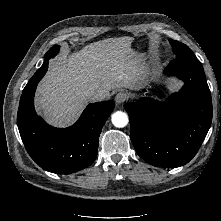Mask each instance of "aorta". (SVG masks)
<instances>
[{"mask_svg": "<svg viewBox=\"0 0 221 221\" xmlns=\"http://www.w3.org/2000/svg\"><path fill=\"white\" fill-rule=\"evenodd\" d=\"M112 123L115 127L122 128L128 124V116L122 111H117L112 115Z\"/></svg>", "mask_w": 221, "mask_h": 221, "instance_id": "obj_1", "label": "aorta"}]
</instances>
